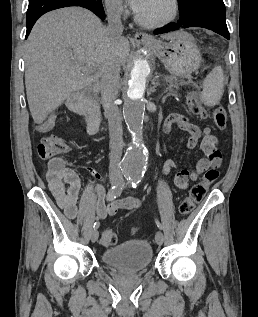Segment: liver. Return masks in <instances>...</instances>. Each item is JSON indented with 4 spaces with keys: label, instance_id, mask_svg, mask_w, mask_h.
<instances>
[{
    "label": "liver",
    "instance_id": "liver-1",
    "mask_svg": "<svg viewBox=\"0 0 258 317\" xmlns=\"http://www.w3.org/2000/svg\"><path fill=\"white\" fill-rule=\"evenodd\" d=\"M161 38L174 40L177 32ZM129 50L125 36L110 44L106 26L87 8L67 6L43 14L24 46L25 84L34 122L41 124L66 98L95 82L109 56L125 64Z\"/></svg>",
    "mask_w": 258,
    "mask_h": 317
}]
</instances>
